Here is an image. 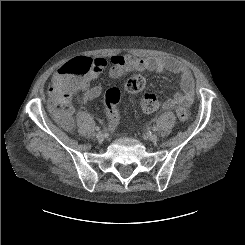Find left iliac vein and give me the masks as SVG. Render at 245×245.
I'll return each instance as SVG.
<instances>
[{
    "instance_id": "1",
    "label": "left iliac vein",
    "mask_w": 245,
    "mask_h": 245,
    "mask_svg": "<svg viewBox=\"0 0 245 245\" xmlns=\"http://www.w3.org/2000/svg\"><path fill=\"white\" fill-rule=\"evenodd\" d=\"M147 139L154 142V141H157L158 137L157 135L152 134V135H148Z\"/></svg>"
}]
</instances>
